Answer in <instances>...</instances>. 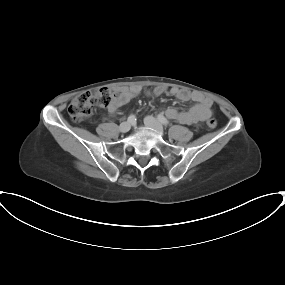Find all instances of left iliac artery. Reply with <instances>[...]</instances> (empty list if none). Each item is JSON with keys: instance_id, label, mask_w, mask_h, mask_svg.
<instances>
[{"instance_id": "left-iliac-artery-1", "label": "left iliac artery", "mask_w": 285, "mask_h": 285, "mask_svg": "<svg viewBox=\"0 0 285 285\" xmlns=\"http://www.w3.org/2000/svg\"><path fill=\"white\" fill-rule=\"evenodd\" d=\"M157 119L164 126H167L169 124L168 120L164 116H162V115H158Z\"/></svg>"}]
</instances>
